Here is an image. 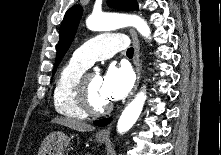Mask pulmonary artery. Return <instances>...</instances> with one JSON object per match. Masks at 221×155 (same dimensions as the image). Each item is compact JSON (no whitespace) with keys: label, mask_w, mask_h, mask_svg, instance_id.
Wrapping results in <instances>:
<instances>
[{"label":"pulmonary artery","mask_w":221,"mask_h":155,"mask_svg":"<svg viewBox=\"0 0 221 155\" xmlns=\"http://www.w3.org/2000/svg\"><path fill=\"white\" fill-rule=\"evenodd\" d=\"M126 47L127 39L124 35L104 33L91 38L80 46L73 53V58L91 66L95 61L110 58Z\"/></svg>","instance_id":"obj_1"}]
</instances>
